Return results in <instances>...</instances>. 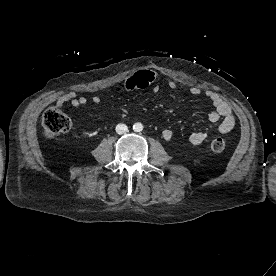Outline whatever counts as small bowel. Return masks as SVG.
I'll return each mask as SVG.
<instances>
[{"label":"small bowel","instance_id":"1","mask_svg":"<svg viewBox=\"0 0 276 276\" xmlns=\"http://www.w3.org/2000/svg\"><path fill=\"white\" fill-rule=\"evenodd\" d=\"M160 79L161 77L158 72L149 69H142L127 79L118 90L122 93L125 91L146 89L151 86H157ZM164 81L170 89L175 90L177 88V82L175 80L165 78ZM189 93L193 96H198L202 94L203 91L201 88L193 86L189 89ZM204 94L210 99L214 107V111L210 115L211 122L216 123L220 121L217 131L220 134L231 132L235 127V117L230 104L214 91L206 90L204 91ZM91 101L97 104L101 101V98L98 95H94L91 97ZM86 103L87 99L85 97L78 96L73 91L61 94L56 100V106L59 108L65 104H70L73 107H81ZM162 136L166 141H170L173 138V132L170 129H165L162 132ZM206 138L207 135L205 133L195 132L189 136L188 140L193 145H199L203 143Z\"/></svg>","mask_w":276,"mask_h":276}]
</instances>
